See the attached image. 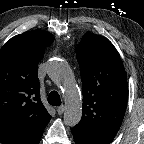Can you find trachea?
Instances as JSON below:
<instances>
[{
  "label": "trachea",
  "instance_id": "obj_1",
  "mask_svg": "<svg viewBox=\"0 0 144 144\" xmlns=\"http://www.w3.org/2000/svg\"><path fill=\"white\" fill-rule=\"evenodd\" d=\"M48 103L52 106H59L61 105V99L59 94L56 91L50 92L48 96Z\"/></svg>",
  "mask_w": 144,
  "mask_h": 144
}]
</instances>
